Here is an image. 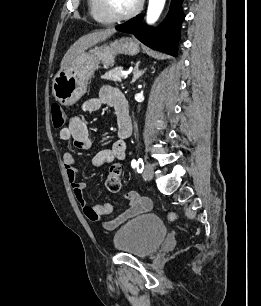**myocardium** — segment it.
<instances>
[{
  "mask_svg": "<svg viewBox=\"0 0 261 306\" xmlns=\"http://www.w3.org/2000/svg\"><path fill=\"white\" fill-rule=\"evenodd\" d=\"M100 3H101L102 10L106 14L107 17H109L112 21H122V20L130 19L134 17L135 15H137L143 7L144 0H138L137 4L132 10H130L129 12L123 13V14L117 13L113 9L110 0H100Z\"/></svg>",
  "mask_w": 261,
  "mask_h": 306,
  "instance_id": "obj_1",
  "label": "myocardium"
}]
</instances>
